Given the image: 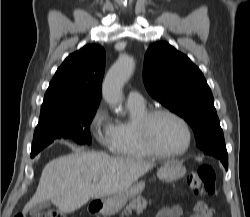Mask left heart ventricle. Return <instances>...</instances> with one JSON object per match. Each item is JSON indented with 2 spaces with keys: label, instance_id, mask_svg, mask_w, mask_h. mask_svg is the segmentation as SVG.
<instances>
[{
  "label": "left heart ventricle",
  "instance_id": "1",
  "mask_svg": "<svg viewBox=\"0 0 250 217\" xmlns=\"http://www.w3.org/2000/svg\"><path fill=\"white\" fill-rule=\"evenodd\" d=\"M151 133L156 146L163 152L179 151L186 145L183 126L170 116H157L152 122Z\"/></svg>",
  "mask_w": 250,
  "mask_h": 217
}]
</instances>
